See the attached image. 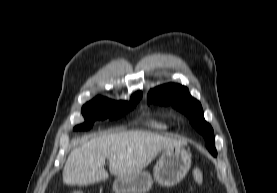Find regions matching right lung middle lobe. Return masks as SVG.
Instances as JSON below:
<instances>
[{
  "label": "right lung middle lobe",
  "mask_w": 277,
  "mask_h": 193,
  "mask_svg": "<svg viewBox=\"0 0 277 193\" xmlns=\"http://www.w3.org/2000/svg\"><path fill=\"white\" fill-rule=\"evenodd\" d=\"M142 94L131 96L130 102L113 101L104 97H96L82 107V114L85 118L83 124L74 127V130H88L95 120L118 119L129 110L133 109L140 100Z\"/></svg>",
  "instance_id": "dd1d6c3e"
}]
</instances>
